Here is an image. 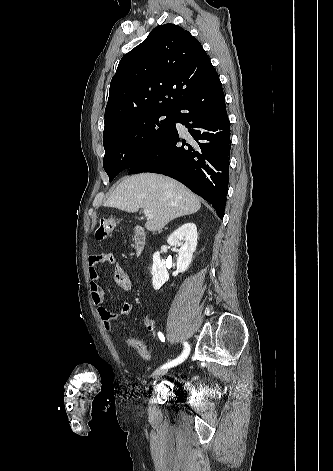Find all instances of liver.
<instances>
[{"label":"liver","instance_id":"liver-1","mask_svg":"<svg viewBox=\"0 0 333 471\" xmlns=\"http://www.w3.org/2000/svg\"><path fill=\"white\" fill-rule=\"evenodd\" d=\"M105 207L135 213L140 208L151 211L145 228L156 232L170 221L197 212L199 198L180 182L153 173L133 175L123 180L104 203Z\"/></svg>","mask_w":333,"mask_h":471}]
</instances>
